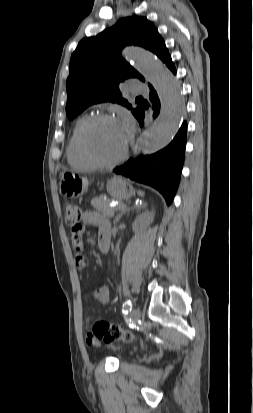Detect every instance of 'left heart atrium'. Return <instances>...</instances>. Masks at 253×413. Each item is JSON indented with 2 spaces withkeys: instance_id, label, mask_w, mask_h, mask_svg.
<instances>
[{
  "instance_id": "left-heart-atrium-1",
  "label": "left heart atrium",
  "mask_w": 253,
  "mask_h": 413,
  "mask_svg": "<svg viewBox=\"0 0 253 413\" xmlns=\"http://www.w3.org/2000/svg\"><path fill=\"white\" fill-rule=\"evenodd\" d=\"M121 129L124 133L125 140L127 142L129 136L131 135L133 131V124L130 118L125 117L123 121L120 123Z\"/></svg>"
}]
</instances>
